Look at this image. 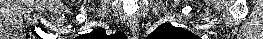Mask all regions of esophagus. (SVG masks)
Returning <instances> with one entry per match:
<instances>
[{
	"instance_id": "esophagus-1",
	"label": "esophagus",
	"mask_w": 263,
	"mask_h": 39,
	"mask_svg": "<svg viewBox=\"0 0 263 39\" xmlns=\"http://www.w3.org/2000/svg\"><path fill=\"white\" fill-rule=\"evenodd\" d=\"M129 26H130V29H131V32H132L134 38L138 39V37H139V24H138V21L136 19H131L129 21Z\"/></svg>"
}]
</instances>
